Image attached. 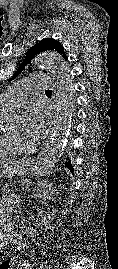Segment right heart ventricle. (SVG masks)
<instances>
[{
    "label": "right heart ventricle",
    "instance_id": "right-heart-ventricle-1",
    "mask_svg": "<svg viewBox=\"0 0 118 269\" xmlns=\"http://www.w3.org/2000/svg\"><path fill=\"white\" fill-rule=\"evenodd\" d=\"M11 111L0 108V155L16 154L22 150L18 139L11 133L2 128L3 119Z\"/></svg>",
    "mask_w": 118,
    "mask_h": 269
}]
</instances>
